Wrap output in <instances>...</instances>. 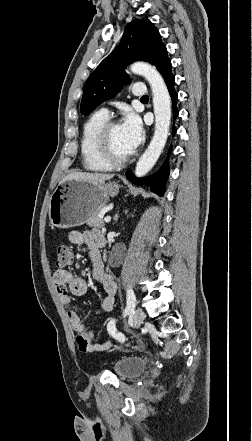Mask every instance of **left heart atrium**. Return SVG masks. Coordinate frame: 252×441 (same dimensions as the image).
<instances>
[{
	"mask_svg": "<svg viewBox=\"0 0 252 441\" xmlns=\"http://www.w3.org/2000/svg\"><path fill=\"white\" fill-rule=\"evenodd\" d=\"M121 126L124 142L129 153H132L142 142L143 128L139 117L134 113H128Z\"/></svg>",
	"mask_w": 252,
	"mask_h": 441,
	"instance_id": "obj_1",
	"label": "left heart atrium"
}]
</instances>
